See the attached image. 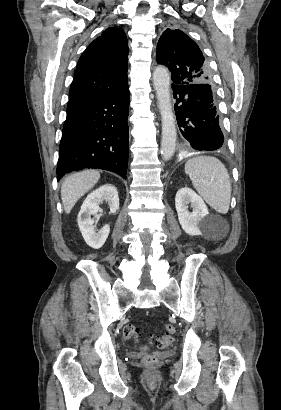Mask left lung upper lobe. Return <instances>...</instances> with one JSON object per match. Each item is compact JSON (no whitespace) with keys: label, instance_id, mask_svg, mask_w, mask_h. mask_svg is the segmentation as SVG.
Returning a JSON list of instances; mask_svg holds the SVG:
<instances>
[{"label":"left lung upper lobe","instance_id":"5c2ea615","mask_svg":"<svg viewBox=\"0 0 281 410\" xmlns=\"http://www.w3.org/2000/svg\"><path fill=\"white\" fill-rule=\"evenodd\" d=\"M157 62L169 68L172 85L212 84L198 45L181 30L166 29L157 45Z\"/></svg>","mask_w":281,"mask_h":410}]
</instances>
